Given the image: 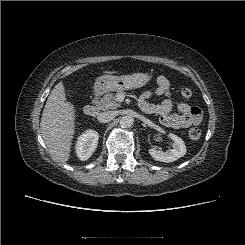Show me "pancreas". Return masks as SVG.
<instances>
[{
    "mask_svg": "<svg viewBox=\"0 0 245 245\" xmlns=\"http://www.w3.org/2000/svg\"><path fill=\"white\" fill-rule=\"evenodd\" d=\"M123 94V91L119 90L116 94L113 93H107L103 96V98L99 102V107L102 110H108V109H116L120 106V104L117 101L118 95Z\"/></svg>",
    "mask_w": 245,
    "mask_h": 245,
    "instance_id": "cf45deb5",
    "label": "pancreas"
}]
</instances>
